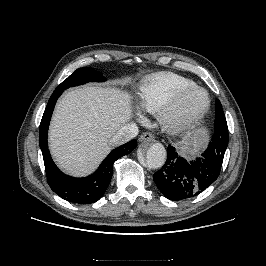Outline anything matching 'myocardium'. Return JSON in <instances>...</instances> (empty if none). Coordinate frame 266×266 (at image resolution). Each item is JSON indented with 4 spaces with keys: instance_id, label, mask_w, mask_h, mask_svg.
I'll list each match as a JSON object with an SVG mask.
<instances>
[{
    "instance_id": "obj_1",
    "label": "myocardium",
    "mask_w": 266,
    "mask_h": 266,
    "mask_svg": "<svg viewBox=\"0 0 266 266\" xmlns=\"http://www.w3.org/2000/svg\"><path fill=\"white\" fill-rule=\"evenodd\" d=\"M191 90H197L203 93L205 97L204 107L191 115L179 113L178 105L182 98ZM211 105V99L209 93L203 87L192 84L177 90L161 107L157 113V118L160 124L170 130H183L201 120L209 111Z\"/></svg>"
}]
</instances>
